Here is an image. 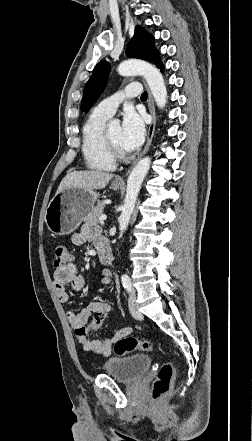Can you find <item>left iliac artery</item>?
Masks as SVG:
<instances>
[{"mask_svg":"<svg viewBox=\"0 0 252 441\" xmlns=\"http://www.w3.org/2000/svg\"><path fill=\"white\" fill-rule=\"evenodd\" d=\"M121 281H122L123 287L128 292H130L131 291V281H130V278L128 277V275H126V274L122 275Z\"/></svg>","mask_w":252,"mask_h":441,"instance_id":"left-iliac-artery-1","label":"left iliac artery"}]
</instances>
